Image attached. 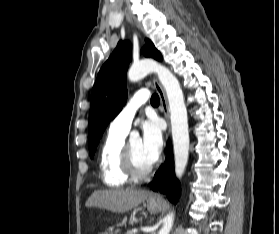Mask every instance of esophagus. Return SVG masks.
<instances>
[{"instance_id": "esophagus-1", "label": "esophagus", "mask_w": 279, "mask_h": 234, "mask_svg": "<svg viewBox=\"0 0 279 234\" xmlns=\"http://www.w3.org/2000/svg\"><path fill=\"white\" fill-rule=\"evenodd\" d=\"M126 17H127L128 21L131 24H133L131 16L129 14H126ZM153 84H154V87H155V89H156V91H157V93L159 95L160 103H161V110L164 113V116H165V118L167 120V123H168V127L170 129V125H169V106H168V102H167L165 91L162 88L161 84L158 82L156 77H153ZM150 197L153 200L160 199V195L158 193L151 194Z\"/></svg>"}]
</instances>
